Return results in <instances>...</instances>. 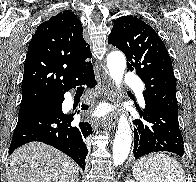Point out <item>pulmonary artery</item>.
Returning <instances> with one entry per match:
<instances>
[{"mask_svg": "<svg viewBox=\"0 0 196 182\" xmlns=\"http://www.w3.org/2000/svg\"><path fill=\"white\" fill-rule=\"evenodd\" d=\"M124 81L126 85L135 87V91H136L138 98L140 99L142 103H144V98H143V93H142L143 90L141 87H139V84H140L139 78L133 73H127Z\"/></svg>", "mask_w": 196, "mask_h": 182, "instance_id": "e3ab8cb5", "label": "pulmonary artery"}]
</instances>
